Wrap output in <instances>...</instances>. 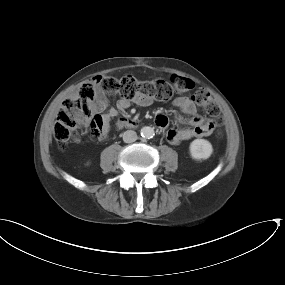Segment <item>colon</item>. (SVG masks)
Segmentation results:
<instances>
[{
    "label": "colon",
    "mask_w": 285,
    "mask_h": 285,
    "mask_svg": "<svg viewBox=\"0 0 285 285\" xmlns=\"http://www.w3.org/2000/svg\"><path fill=\"white\" fill-rule=\"evenodd\" d=\"M195 89V83L184 76L172 75L168 80L158 78L152 81H139L132 76L121 78L97 76L92 80L81 84L76 89V95L68 98L58 113L57 122L54 127V136L61 148L76 136L78 129L84 128L90 121L89 105L94 101L96 91L119 92L126 99H133L137 96H149L158 100H167L175 93H184ZM192 99L195 104L215 117L219 113V107L212 96L204 88H196ZM167 122L165 115H158L155 118L157 126H163ZM91 136L99 139L103 135V126L97 118L91 120ZM216 123L210 122L207 130L203 129L202 134L215 133L221 139L222 132L215 131Z\"/></svg>",
    "instance_id": "colon-1"
}]
</instances>
